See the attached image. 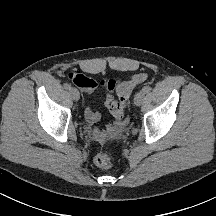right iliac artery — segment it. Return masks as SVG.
<instances>
[{
  "instance_id": "1",
  "label": "right iliac artery",
  "mask_w": 216,
  "mask_h": 216,
  "mask_svg": "<svg viewBox=\"0 0 216 216\" xmlns=\"http://www.w3.org/2000/svg\"><path fill=\"white\" fill-rule=\"evenodd\" d=\"M64 88L67 89V90H70L71 89V85L68 84V83H65L64 84Z\"/></svg>"
}]
</instances>
